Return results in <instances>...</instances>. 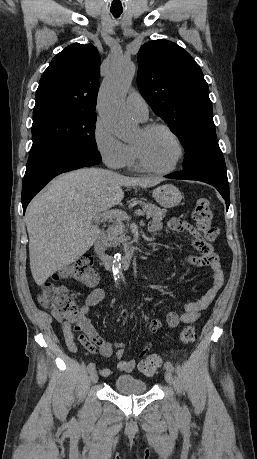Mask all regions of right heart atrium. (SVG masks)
Segmentation results:
<instances>
[{"mask_svg":"<svg viewBox=\"0 0 257 459\" xmlns=\"http://www.w3.org/2000/svg\"><path fill=\"white\" fill-rule=\"evenodd\" d=\"M93 139L97 152L107 166L114 169L126 166L130 157L129 146L118 139L100 118L95 122Z\"/></svg>","mask_w":257,"mask_h":459,"instance_id":"1","label":"right heart atrium"}]
</instances>
